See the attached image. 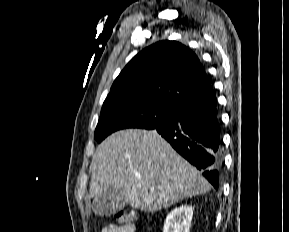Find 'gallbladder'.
I'll return each instance as SVG.
<instances>
[{
    "instance_id": "gallbladder-1",
    "label": "gallbladder",
    "mask_w": 289,
    "mask_h": 232,
    "mask_svg": "<svg viewBox=\"0 0 289 232\" xmlns=\"http://www.w3.org/2000/svg\"><path fill=\"white\" fill-rule=\"evenodd\" d=\"M125 196L121 190L110 189L105 195L95 197L93 207L100 216H110L124 208Z\"/></svg>"
}]
</instances>
